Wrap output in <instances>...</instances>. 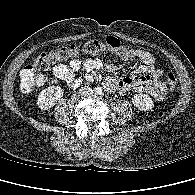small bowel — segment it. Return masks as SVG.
I'll list each match as a JSON object with an SVG mask.
<instances>
[{
  "label": "small bowel",
  "instance_id": "obj_1",
  "mask_svg": "<svg viewBox=\"0 0 195 195\" xmlns=\"http://www.w3.org/2000/svg\"><path fill=\"white\" fill-rule=\"evenodd\" d=\"M135 57L140 60L139 66L133 76L116 78L108 76L104 80V86L109 92L127 94L130 92H145L162 100L166 94V87L159 81L162 71L155 67L154 55L142 49H134ZM123 65L117 62H109L106 66L111 73L119 70ZM103 69V62L99 58L72 59L68 64H58L52 68L53 74L72 89L79 87L83 81L91 82L96 74ZM83 70V75L78 73Z\"/></svg>",
  "mask_w": 195,
  "mask_h": 195
}]
</instances>
